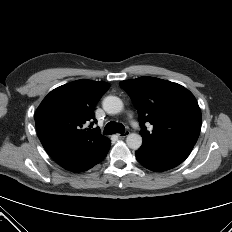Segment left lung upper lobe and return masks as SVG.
<instances>
[{
  "mask_svg": "<svg viewBox=\"0 0 232 232\" xmlns=\"http://www.w3.org/2000/svg\"><path fill=\"white\" fill-rule=\"evenodd\" d=\"M139 113L144 142L155 145H195L201 129V111L193 94L183 86L143 76L120 82ZM153 125L152 132L145 123Z\"/></svg>",
  "mask_w": 232,
  "mask_h": 232,
  "instance_id": "1",
  "label": "left lung upper lobe"
}]
</instances>
